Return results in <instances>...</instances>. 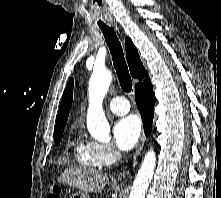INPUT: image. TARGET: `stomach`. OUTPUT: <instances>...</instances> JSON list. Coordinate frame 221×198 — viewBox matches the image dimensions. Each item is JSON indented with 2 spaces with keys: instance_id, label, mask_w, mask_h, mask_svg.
<instances>
[{
  "instance_id": "obj_1",
  "label": "stomach",
  "mask_w": 221,
  "mask_h": 198,
  "mask_svg": "<svg viewBox=\"0 0 221 198\" xmlns=\"http://www.w3.org/2000/svg\"><path fill=\"white\" fill-rule=\"evenodd\" d=\"M70 198H90V196L87 192L77 191Z\"/></svg>"
}]
</instances>
